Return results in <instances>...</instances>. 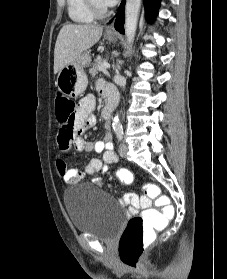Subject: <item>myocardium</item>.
<instances>
[{"mask_svg": "<svg viewBox=\"0 0 227 279\" xmlns=\"http://www.w3.org/2000/svg\"><path fill=\"white\" fill-rule=\"evenodd\" d=\"M89 12L96 18L105 17L109 13V6L100 8L95 4L94 0H84Z\"/></svg>", "mask_w": 227, "mask_h": 279, "instance_id": "1", "label": "myocardium"}]
</instances>
